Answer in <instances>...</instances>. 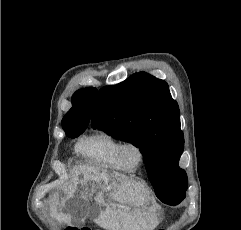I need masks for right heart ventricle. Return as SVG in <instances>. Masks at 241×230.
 Wrapping results in <instances>:
<instances>
[{
    "label": "right heart ventricle",
    "instance_id": "1",
    "mask_svg": "<svg viewBox=\"0 0 241 230\" xmlns=\"http://www.w3.org/2000/svg\"><path fill=\"white\" fill-rule=\"evenodd\" d=\"M121 143L120 137L100 128L82 138L76 150L86 161L128 171L120 159Z\"/></svg>",
    "mask_w": 241,
    "mask_h": 230
}]
</instances>
